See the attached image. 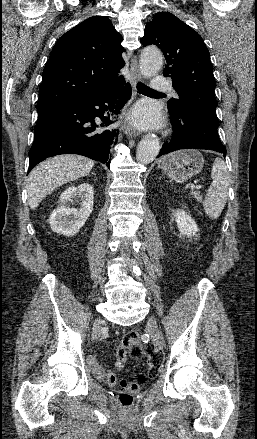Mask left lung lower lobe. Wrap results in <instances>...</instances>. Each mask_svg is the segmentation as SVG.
<instances>
[{
  "label": "left lung lower lobe",
  "instance_id": "left-lung-lower-lobe-1",
  "mask_svg": "<svg viewBox=\"0 0 257 439\" xmlns=\"http://www.w3.org/2000/svg\"><path fill=\"white\" fill-rule=\"evenodd\" d=\"M173 137L163 144L157 157L180 149H205L221 153L226 149L218 136V120L204 112L193 110L187 113H170Z\"/></svg>",
  "mask_w": 257,
  "mask_h": 439
}]
</instances>
